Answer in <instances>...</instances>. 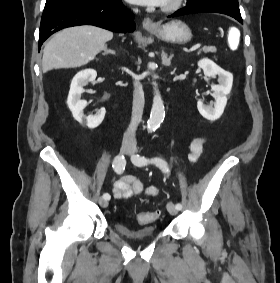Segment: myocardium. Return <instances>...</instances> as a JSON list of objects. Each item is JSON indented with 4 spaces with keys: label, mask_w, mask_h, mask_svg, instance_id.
Returning <instances> with one entry per match:
<instances>
[{
    "label": "myocardium",
    "mask_w": 280,
    "mask_h": 283,
    "mask_svg": "<svg viewBox=\"0 0 280 283\" xmlns=\"http://www.w3.org/2000/svg\"><path fill=\"white\" fill-rule=\"evenodd\" d=\"M184 3V0H166L162 5L161 10L163 12H173L178 10Z\"/></svg>",
    "instance_id": "myocardium-1"
}]
</instances>
